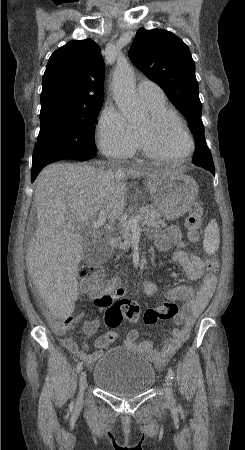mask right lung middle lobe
Masks as SVG:
<instances>
[{"label": "right lung middle lobe", "mask_w": 245, "mask_h": 450, "mask_svg": "<svg viewBox=\"0 0 245 450\" xmlns=\"http://www.w3.org/2000/svg\"><path fill=\"white\" fill-rule=\"evenodd\" d=\"M102 104L93 108L52 105L40 112L38 148L32 156V167L56 156L70 153H96L93 124Z\"/></svg>", "instance_id": "dd1d6c3e"}]
</instances>
